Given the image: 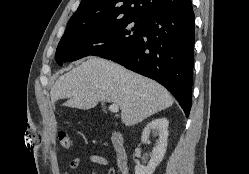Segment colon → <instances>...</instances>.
Segmentation results:
<instances>
[{
	"label": "colon",
	"instance_id": "colon-1",
	"mask_svg": "<svg viewBox=\"0 0 249 174\" xmlns=\"http://www.w3.org/2000/svg\"><path fill=\"white\" fill-rule=\"evenodd\" d=\"M59 141L62 149L66 151H72L74 149V141L67 132L62 131L59 133Z\"/></svg>",
	"mask_w": 249,
	"mask_h": 174
}]
</instances>
